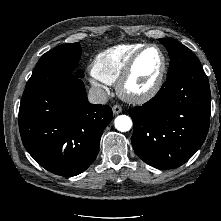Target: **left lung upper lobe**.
<instances>
[{"label": "left lung upper lobe", "instance_id": "1", "mask_svg": "<svg viewBox=\"0 0 221 221\" xmlns=\"http://www.w3.org/2000/svg\"><path fill=\"white\" fill-rule=\"evenodd\" d=\"M169 53L170 65L167 79L175 76L180 71L194 66H201L198 58L184 45L170 38L159 39Z\"/></svg>", "mask_w": 221, "mask_h": 221}]
</instances>
